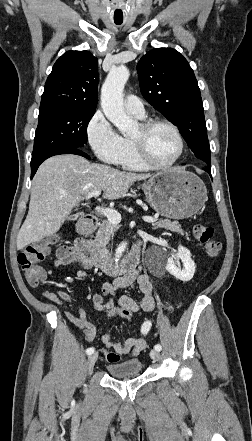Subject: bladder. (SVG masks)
Returning <instances> with one entry per match:
<instances>
[{
    "label": "bladder",
    "mask_w": 252,
    "mask_h": 441,
    "mask_svg": "<svg viewBox=\"0 0 252 441\" xmlns=\"http://www.w3.org/2000/svg\"><path fill=\"white\" fill-rule=\"evenodd\" d=\"M142 370V362L139 359H130L119 363H110L106 371L114 379H128L138 376Z\"/></svg>",
    "instance_id": "1"
}]
</instances>
